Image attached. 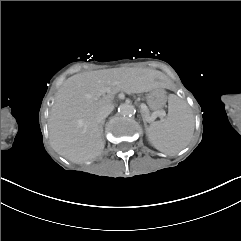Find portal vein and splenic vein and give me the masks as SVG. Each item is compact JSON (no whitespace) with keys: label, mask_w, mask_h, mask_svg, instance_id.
Listing matches in <instances>:
<instances>
[{"label":"portal vein and splenic vein","mask_w":241,"mask_h":241,"mask_svg":"<svg viewBox=\"0 0 241 241\" xmlns=\"http://www.w3.org/2000/svg\"><path fill=\"white\" fill-rule=\"evenodd\" d=\"M141 109H142V114L144 116V119L147 122H155V120L158 116L164 118V110H156L151 115H149V112L147 111L146 103H141Z\"/></svg>","instance_id":"18ae733b"}]
</instances>
